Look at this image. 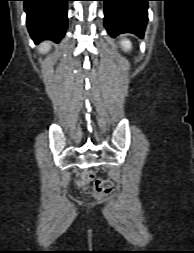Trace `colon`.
<instances>
[{
	"label": "colon",
	"instance_id": "1",
	"mask_svg": "<svg viewBox=\"0 0 194 253\" xmlns=\"http://www.w3.org/2000/svg\"><path fill=\"white\" fill-rule=\"evenodd\" d=\"M77 185L84 188L87 195L93 198L106 197L112 193L114 188L109 179H94V174L90 170H85L79 175Z\"/></svg>",
	"mask_w": 194,
	"mask_h": 253
}]
</instances>
